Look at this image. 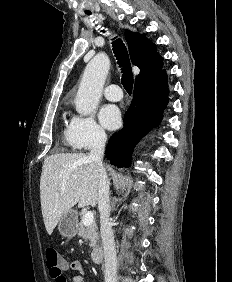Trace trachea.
I'll list each match as a JSON object with an SVG mask.
<instances>
[{"instance_id": "obj_1", "label": "trachea", "mask_w": 232, "mask_h": 282, "mask_svg": "<svg viewBox=\"0 0 232 282\" xmlns=\"http://www.w3.org/2000/svg\"><path fill=\"white\" fill-rule=\"evenodd\" d=\"M112 44L114 54L118 60L117 63L123 73L121 79L123 87L127 92H131L133 88V74L130 66L127 49L120 39L114 40Z\"/></svg>"}]
</instances>
